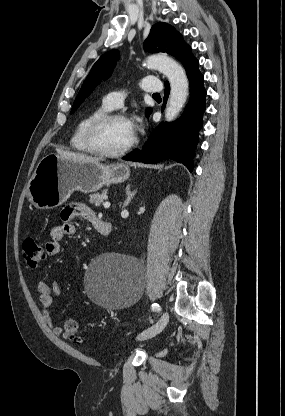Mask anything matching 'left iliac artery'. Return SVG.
I'll list each match as a JSON object with an SVG mask.
<instances>
[{"label":"left iliac artery","mask_w":285,"mask_h":416,"mask_svg":"<svg viewBox=\"0 0 285 416\" xmlns=\"http://www.w3.org/2000/svg\"><path fill=\"white\" fill-rule=\"evenodd\" d=\"M151 308H152L153 311H158V312L161 311V307L158 303H153Z\"/></svg>","instance_id":"obj_1"}]
</instances>
